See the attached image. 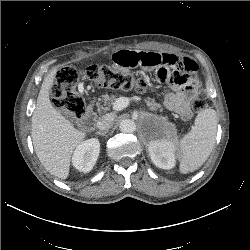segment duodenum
Here are the masks:
<instances>
[{"label":"duodenum","mask_w":250,"mask_h":250,"mask_svg":"<svg viewBox=\"0 0 250 250\" xmlns=\"http://www.w3.org/2000/svg\"><path fill=\"white\" fill-rule=\"evenodd\" d=\"M94 105L93 104H89V108L87 109V116L84 119V124L86 126H90L94 120V110H93Z\"/></svg>","instance_id":"duodenum-1"}]
</instances>
